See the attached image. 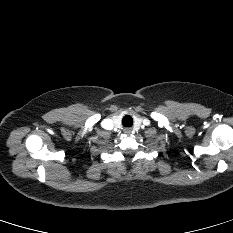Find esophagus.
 <instances>
[{"mask_svg": "<svg viewBox=\"0 0 233 233\" xmlns=\"http://www.w3.org/2000/svg\"><path fill=\"white\" fill-rule=\"evenodd\" d=\"M124 132H125L126 134H130V133H131V129H130V128H125V129H124Z\"/></svg>", "mask_w": 233, "mask_h": 233, "instance_id": "obj_1", "label": "esophagus"}]
</instances>
